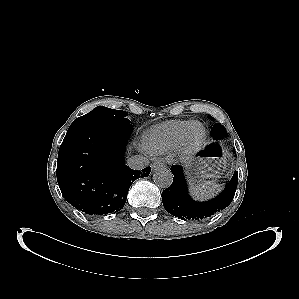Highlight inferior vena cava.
I'll return each mask as SVG.
<instances>
[{
    "label": "inferior vena cava",
    "instance_id": "602c4592",
    "mask_svg": "<svg viewBox=\"0 0 299 299\" xmlns=\"http://www.w3.org/2000/svg\"><path fill=\"white\" fill-rule=\"evenodd\" d=\"M149 164V159L142 155H135L127 160V165L134 170H142Z\"/></svg>",
    "mask_w": 299,
    "mask_h": 299
}]
</instances>
